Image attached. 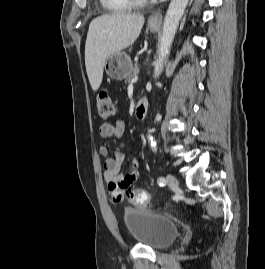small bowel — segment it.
<instances>
[{
    "mask_svg": "<svg viewBox=\"0 0 265 269\" xmlns=\"http://www.w3.org/2000/svg\"><path fill=\"white\" fill-rule=\"evenodd\" d=\"M125 132V122L118 119L112 123H103L99 127V134L103 138L121 137ZM99 153L105 157L104 161V178L109 185L111 197L114 202H121L123 199V189L129 187L137 181L140 174V164L136 158L130 161V168L127 174L121 173V165L125 159L124 153L114 151L110 154L109 148L101 144L99 145ZM111 188L120 189L121 194H113Z\"/></svg>",
    "mask_w": 265,
    "mask_h": 269,
    "instance_id": "c3829d8e",
    "label": "small bowel"
}]
</instances>
